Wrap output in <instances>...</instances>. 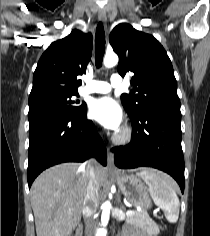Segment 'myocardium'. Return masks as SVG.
I'll return each mask as SVG.
<instances>
[{"label":"myocardium","instance_id":"1","mask_svg":"<svg viewBox=\"0 0 210 236\" xmlns=\"http://www.w3.org/2000/svg\"><path fill=\"white\" fill-rule=\"evenodd\" d=\"M131 138H132V129L126 126L115 134L113 140L117 144H126L131 140Z\"/></svg>","mask_w":210,"mask_h":236}]
</instances>
